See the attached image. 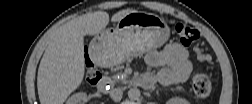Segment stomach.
Returning <instances> with one entry per match:
<instances>
[{
  "instance_id": "0dacf381",
  "label": "stomach",
  "mask_w": 252,
  "mask_h": 104,
  "mask_svg": "<svg viewBox=\"0 0 252 104\" xmlns=\"http://www.w3.org/2000/svg\"><path fill=\"white\" fill-rule=\"evenodd\" d=\"M169 35L163 18L134 11L119 20L115 28L106 29L93 39V53L107 65H116L161 47Z\"/></svg>"
}]
</instances>
